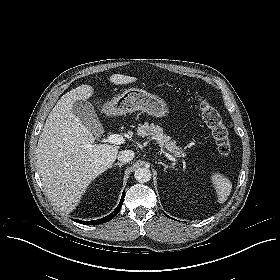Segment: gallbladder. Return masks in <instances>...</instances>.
<instances>
[{"label":"gallbladder","mask_w":280,"mask_h":280,"mask_svg":"<svg viewBox=\"0 0 280 280\" xmlns=\"http://www.w3.org/2000/svg\"><path fill=\"white\" fill-rule=\"evenodd\" d=\"M73 113L96 137L103 133V127L100 123L93 105L87 100H78L73 104Z\"/></svg>","instance_id":"bac80fb5"}]
</instances>
